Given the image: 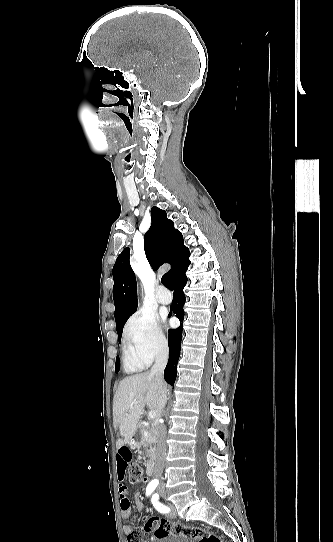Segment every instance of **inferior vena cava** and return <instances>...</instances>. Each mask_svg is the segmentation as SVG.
I'll use <instances>...</instances> for the list:
<instances>
[{"label":"inferior vena cava","instance_id":"inferior-vena-cava-1","mask_svg":"<svg viewBox=\"0 0 333 542\" xmlns=\"http://www.w3.org/2000/svg\"><path fill=\"white\" fill-rule=\"evenodd\" d=\"M167 362H168V348H162V350L158 352L155 358V364L154 366H152L149 372L150 376H154L158 384H161V390H159L158 400H157V410H156L158 414V418H161L162 410L163 408H165V404L167 402V390H166L165 382L163 380V374L167 366ZM156 436H157V448H156V456H155V462H154L153 478H156V480H163L162 474H163V468H164L165 458H166V428L164 424H160V422H158L156 426ZM159 488H163V482H160Z\"/></svg>","mask_w":333,"mask_h":542}]
</instances>
